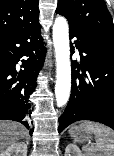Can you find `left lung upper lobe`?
<instances>
[{"label":"left lung upper lobe","mask_w":114,"mask_h":156,"mask_svg":"<svg viewBox=\"0 0 114 156\" xmlns=\"http://www.w3.org/2000/svg\"><path fill=\"white\" fill-rule=\"evenodd\" d=\"M56 12L67 18L71 29L114 49V24L104 0H59Z\"/></svg>","instance_id":"obj_1"}]
</instances>
